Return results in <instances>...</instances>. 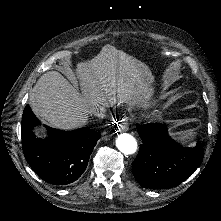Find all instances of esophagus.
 <instances>
[{
    "label": "esophagus",
    "mask_w": 221,
    "mask_h": 221,
    "mask_svg": "<svg viewBox=\"0 0 221 221\" xmlns=\"http://www.w3.org/2000/svg\"><path fill=\"white\" fill-rule=\"evenodd\" d=\"M120 130L121 131H127L128 130V122L123 119L120 124H119Z\"/></svg>",
    "instance_id": "1"
}]
</instances>
